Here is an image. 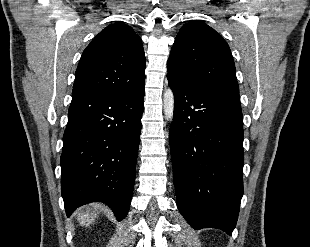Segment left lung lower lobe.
Returning a JSON list of instances; mask_svg holds the SVG:
<instances>
[{"mask_svg":"<svg viewBox=\"0 0 310 247\" xmlns=\"http://www.w3.org/2000/svg\"><path fill=\"white\" fill-rule=\"evenodd\" d=\"M167 79L175 99L170 149L177 207L194 229L231 235L243 195L240 101Z\"/></svg>","mask_w":310,"mask_h":247,"instance_id":"obj_1","label":"left lung lower lobe"}]
</instances>
